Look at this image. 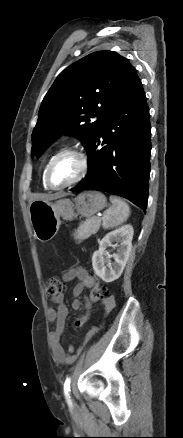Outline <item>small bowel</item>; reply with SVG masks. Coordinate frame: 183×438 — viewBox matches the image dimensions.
<instances>
[{
  "label": "small bowel",
  "mask_w": 183,
  "mask_h": 438,
  "mask_svg": "<svg viewBox=\"0 0 183 438\" xmlns=\"http://www.w3.org/2000/svg\"><path fill=\"white\" fill-rule=\"evenodd\" d=\"M63 280L65 282L72 281L74 279L77 280L74 288H73V296L74 300L72 301L71 307L74 310L80 309L82 307V302L78 299V297L82 294L85 288H92L95 284V279L88 273V271L83 267H74L70 268L63 274ZM54 304L57 305L56 308L50 307L48 309V320L54 324L55 329L51 333V348L53 352L54 359L62 364H70L74 361V356L71 354L73 348L70 347L68 352H65L63 349L60 338L65 329V322L68 316V306L64 302L63 295H60L52 300ZM105 313H109L115 304L114 298L112 296H108L102 299ZM86 309H88V305H86ZM89 312L78 318L75 321L76 327H81L88 320ZM98 328H94L92 333L96 332Z\"/></svg>",
  "instance_id": "obj_1"
}]
</instances>
